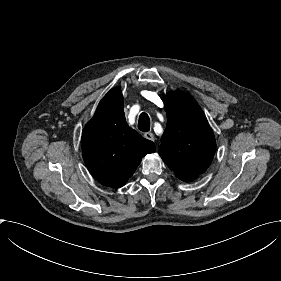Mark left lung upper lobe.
<instances>
[{
	"mask_svg": "<svg viewBox=\"0 0 281 281\" xmlns=\"http://www.w3.org/2000/svg\"><path fill=\"white\" fill-rule=\"evenodd\" d=\"M163 100L167 126L159 155L179 179H194L207 170L214 157L213 131L191 96L172 92L164 95Z\"/></svg>",
	"mask_w": 281,
	"mask_h": 281,
	"instance_id": "1",
	"label": "left lung upper lobe"
}]
</instances>
